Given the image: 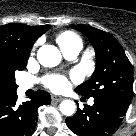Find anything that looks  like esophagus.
<instances>
[{
    "mask_svg": "<svg viewBox=\"0 0 136 136\" xmlns=\"http://www.w3.org/2000/svg\"><path fill=\"white\" fill-rule=\"evenodd\" d=\"M51 98H52V101H53V102H60V101L63 100L62 97H59V96H56V95H52Z\"/></svg>",
    "mask_w": 136,
    "mask_h": 136,
    "instance_id": "obj_1",
    "label": "esophagus"
}]
</instances>
